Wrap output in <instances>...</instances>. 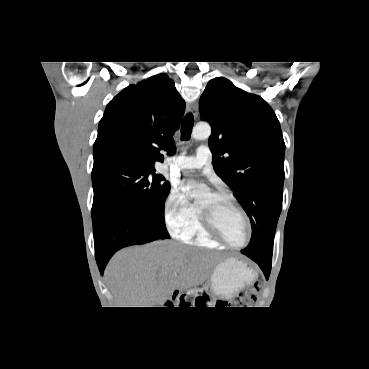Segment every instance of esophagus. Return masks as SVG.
<instances>
[{"label":"esophagus","mask_w":369,"mask_h":369,"mask_svg":"<svg viewBox=\"0 0 369 369\" xmlns=\"http://www.w3.org/2000/svg\"><path fill=\"white\" fill-rule=\"evenodd\" d=\"M187 110L192 113L194 117L198 115V102L193 101L187 105Z\"/></svg>","instance_id":"1"}]
</instances>
